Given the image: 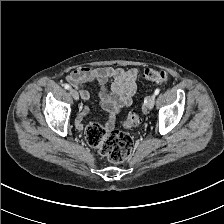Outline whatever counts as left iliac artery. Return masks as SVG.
<instances>
[{
	"label": "left iliac artery",
	"mask_w": 224,
	"mask_h": 224,
	"mask_svg": "<svg viewBox=\"0 0 224 224\" xmlns=\"http://www.w3.org/2000/svg\"><path fill=\"white\" fill-rule=\"evenodd\" d=\"M160 93V89L159 88H156L155 91H154V95H158Z\"/></svg>",
	"instance_id": "obj_1"
}]
</instances>
